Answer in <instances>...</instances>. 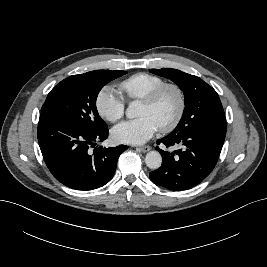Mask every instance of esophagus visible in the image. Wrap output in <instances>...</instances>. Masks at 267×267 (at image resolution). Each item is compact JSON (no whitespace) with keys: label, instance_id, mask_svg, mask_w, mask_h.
Segmentation results:
<instances>
[{"label":"esophagus","instance_id":"obj_1","mask_svg":"<svg viewBox=\"0 0 267 267\" xmlns=\"http://www.w3.org/2000/svg\"><path fill=\"white\" fill-rule=\"evenodd\" d=\"M136 149H138L139 151H142L144 153L148 152L151 150L150 146H141V147H137Z\"/></svg>","mask_w":267,"mask_h":267}]
</instances>
